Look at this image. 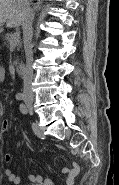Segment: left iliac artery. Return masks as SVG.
<instances>
[{"mask_svg": "<svg viewBox=\"0 0 119 185\" xmlns=\"http://www.w3.org/2000/svg\"><path fill=\"white\" fill-rule=\"evenodd\" d=\"M20 110H21L22 113L27 112V109H26L25 105H23V104L20 105Z\"/></svg>", "mask_w": 119, "mask_h": 185, "instance_id": "obj_1", "label": "left iliac artery"}]
</instances>
